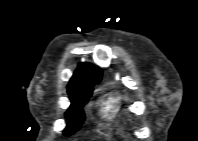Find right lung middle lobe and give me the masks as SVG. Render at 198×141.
I'll return each mask as SVG.
<instances>
[{"instance_id":"obj_1","label":"right lung middle lobe","mask_w":198,"mask_h":141,"mask_svg":"<svg viewBox=\"0 0 198 141\" xmlns=\"http://www.w3.org/2000/svg\"><path fill=\"white\" fill-rule=\"evenodd\" d=\"M93 85L68 88L71 106L66 112L67 127L64 130L65 136L72 135L78 131L83 124L85 116L82 108L91 97Z\"/></svg>"}]
</instances>
